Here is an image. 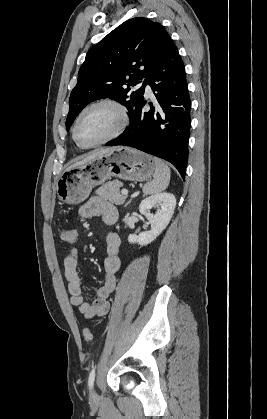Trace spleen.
Here are the masks:
<instances>
[{"label": "spleen", "instance_id": "obj_1", "mask_svg": "<svg viewBox=\"0 0 267 419\" xmlns=\"http://www.w3.org/2000/svg\"><path fill=\"white\" fill-rule=\"evenodd\" d=\"M155 164V172L153 174V180L148 182L143 187V193L145 195L158 194L164 191L170 182V168L168 165L159 158H153Z\"/></svg>", "mask_w": 267, "mask_h": 419}]
</instances>
